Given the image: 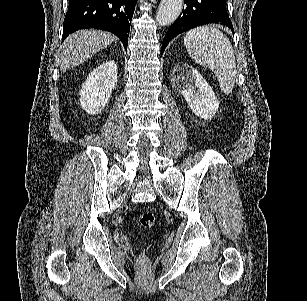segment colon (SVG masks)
Returning a JSON list of instances; mask_svg holds the SVG:
<instances>
[{"instance_id":"5ec220e1","label":"colon","mask_w":307,"mask_h":301,"mask_svg":"<svg viewBox=\"0 0 307 301\" xmlns=\"http://www.w3.org/2000/svg\"><path fill=\"white\" fill-rule=\"evenodd\" d=\"M138 224L142 228H151L155 224V216L152 212L146 211L142 213L138 218ZM140 262L144 264L146 262V257L142 255L140 257Z\"/></svg>"}]
</instances>
